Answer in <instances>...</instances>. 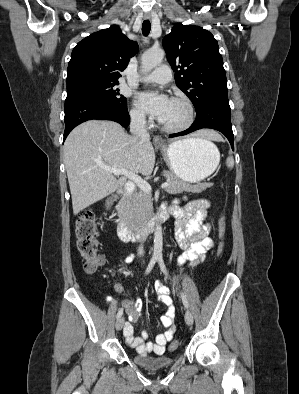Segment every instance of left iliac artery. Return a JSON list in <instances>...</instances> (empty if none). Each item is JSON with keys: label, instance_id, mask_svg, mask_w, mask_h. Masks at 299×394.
Returning <instances> with one entry per match:
<instances>
[{"label": "left iliac artery", "instance_id": "obj_1", "mask_svg": "<svg viewBox=\"0 0 299 394\" xmlns=\"http://www.w3.org/2000/svg\"><path fill=\"white\" fill-rule=\"evenodd\" d=\"M157 260H158V263H159V266H160V269L162 270V272L165 274L166 277H169L162 256H158V257H157ZM181 298H182V301H183L184 306H185L186 308H188V301H187V299H186V296H185L183 293H181Z\"/></svg>", "mask_w": 299, "mask_h": 394}]
</instances>
